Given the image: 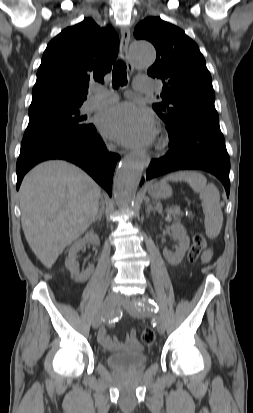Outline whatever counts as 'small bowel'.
<instances>
[{
	"mask_svg": "<svg viewBox=\"0 0 253 413\" xmlns=\"http://www.w3.org/2000/svg\"><path fill=\"white\" fill-rule=\"evenodd\" d=\"M212 257V250L208 249L202 254V262H208ZM98 341L102 346L108 350L116 351L122 349L124 346L130 348H137L138 342L136 339V331L131 329L125 338L124 344L120 343L116 338L111 336L106 327H102L98 332Z\"/></svg>",
	"mask_w": 253,
	"mask_h": 413,
	"instance_id": "obj_1",
	"label": "small bowel"
}]
</instances>
